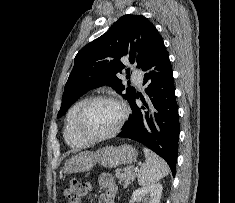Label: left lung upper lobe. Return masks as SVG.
I'll use <instances>...</instances> for the list:
<instances>
[{
  "instance_id": "obj_1",
  "label": "left lung upper lobe",
  "mask_w": 235,
  "mask_h": 203,
  "mask_svg": "<svg viewBox=\"0 0 235 203\" xmlns=\"http://www.w3.org/2000/svg\"><path fill=\"white\" fill-rule=\"evenodd\" d=\"M160 39L155 26L144 16H122L105 34L77 53L57 117L65 114L87 91L103 85L112 86L130 102L136 90L133 87L125 88L117 77L125 68L121 60H128L142 69ZM126 73L129 75L130 69ZM124 91L126 93H123Z\"/></svg>"
}]
</instances>
